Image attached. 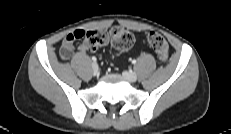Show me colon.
Wrapping results in <instances>:
<instances>
[{
  "label": "colon",
  "instance_id": "1",
  "mask_svg": "<svg viewBox=\"0 0 231 134\" xmlns=\"http://www.w3.org/2000/svg\"><path fill=\"white\" fill-rule=\"evenodd\" d=\"M73 34L76 39L84 38V44L91 50L99 49L110 41L116 49L126 51L134 43L133 35L121 26H115L109 32L104 30H76ZM147 39L159 60L166 62L169 57V47L165 38L157 32H150Z\"/></svg>",
  "mask_w": 231,
  "mask_h": 134
}]
</instances>
